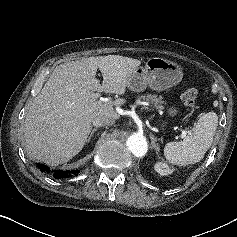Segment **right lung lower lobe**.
I'll return each mask as SVG.
<instances>
[{"instance_id": "1", "label": "right lung lower lobe", "mask_w": 237, "mask_h": 237, "mask_svg": "<svg viewBox=\"0 0 237 237\" xmlns=\"http://www.w3.org/2000/svg\"><path fill=\"white\" fill-rule=\"evenodd\" d=\"M37 166L40 168V170L43 172V171H46V172H50V168L43 165V164H37ZM53 173V176L54 178L56 179H61V178H67L69 176H73L74 174H78L79 171H76V170H73V171H63V170H55V171H52Z\"/></svg>"}]
</instances>
